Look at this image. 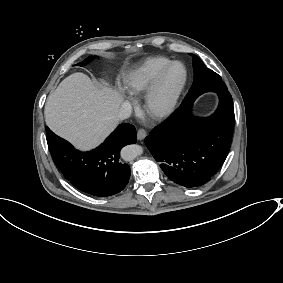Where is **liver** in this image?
<instances>
[{"label": "liver", "mask_w": 283, "mask_h": 283, "mask_svg": "<svg viewBox=\"0 0 283 283\" xmlns=\"http://www.w3.org/2000/svg\"><path fill=\"white\" fill-rule=\"evenodd\" d=\"M124 97L117 90L98 89L80 72L66 77L45 104L47 126L76 148L89 150L99 145L119 122Z\"/></svg>", "instance_id": "6515ba94"}]
</instances>
